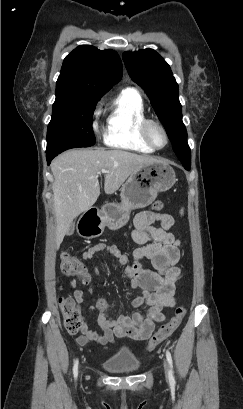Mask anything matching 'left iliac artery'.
Segmentation results:
<instances>
[{"label":"left iliac artery","instance_id":"44dca946","mask_svg":"<svg viewBox=\"0 0 243 409\" xmlns=\"http://www.w3.org/2000/svg\"><path fill=\"white\" fill-rule=\"evenodd\" d=\"M166 358H167V361H168L169 366H170L169 380L174 382L175 378H174L173 369H172L173 368V361H172V356H171V353L169 352V350L166 351Z\"/></svg>","mask_w":243,"mask_h":409}]
</instances>
